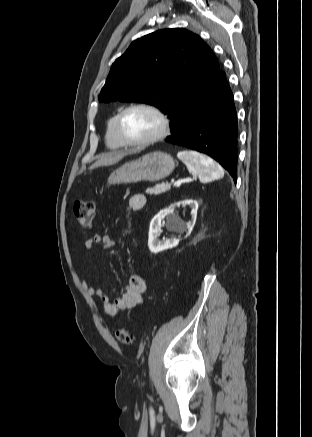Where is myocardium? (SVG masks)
Masks as SVG:
<instances>
[{
  "mask_svg": "<svg viewBox=\"0 0 312 437\" xmlns=\"http://www.w3.org/2000/svg\"><path fill=\"white\" fill-rule=\"evenodd\" d=\"M137 108H143L151 111L153 114L157 116V118L160 121V129L159 131L154 134L153 136L142 139V140H133L126 136V134L123 131L122 128V121L124 116L131 110L137 109ZM116 132L119 136V138L122 140V142L128 146H146L154 144L163 138H165L169 132V119L165 115V113L159 109L156 105L147 103V102H137L132 103L125 108H123L117 115L116 122H115Z\"/></svg>",
  "mask_w": 312,
  "mask_h": 437,
  "instance_id": "f54148a6",
  "label": "myocardium"
}]
</instances>
